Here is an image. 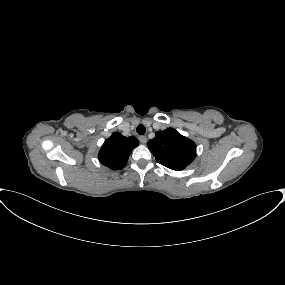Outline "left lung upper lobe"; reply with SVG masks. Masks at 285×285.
<instances>
[{
	"label": "left lung upper lobe",
	"mask_w": 285,
	"mask_h": 285,
	"mask_svg": "<svg viewBox=\"0 0 285 285\" xmlns=\"http://www.w3.org/2000/svg\"><path fill=\"white\" fill-rule=\"evenodd\" d=\"M148 148L158 163L177 171L183 170L196 157L195 143L173 128L156 132L148 141Z\"/></svg>",
	"instance_id": "obj_1"
}]
</instances>
